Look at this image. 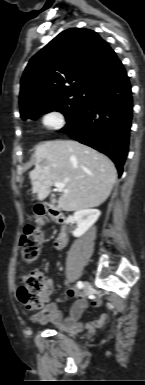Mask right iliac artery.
<instances>
[{
  "label": "right iliac artery",
  "instance_id": "82829eb1",
  "mask_svg": "<svg viewBox=\"0 0 145 385\" xmlns=\"http://www.w3.org/2000/svg\"><path fill=\"white\" fill-rule=\"evenodd\" d=\"M77 287L79 289L83 288V283L81 281L77 282Z\"/></svg>",
  "mask_w": 145,
  "mask_h": 385
}]
</instances>
